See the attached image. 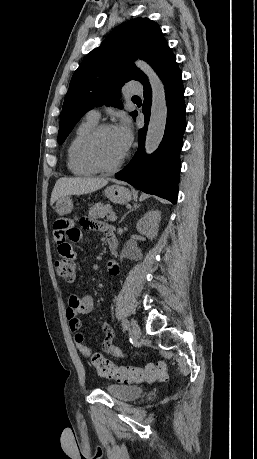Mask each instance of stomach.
I'll return each mask as SVG.
<instances>
[{
    "mask_svg": "<svg viewBox=\"0 0 257 459\" xmlns=\"http://www.w3.org/2000/svg\"><path fill=\"white\" fill-rule=\"evenodd\" d=\"M106 197L117 204H124L131 200L130 191L118 184L108 186L105 189ZM56 211L59 215H67L71 213L73 209L72 200L68 196L60 197L56 202Z\"/></svg>",
    "mask_w": 257,
    "mask_h": 459,
    "instance_id": "1",
    "label": "stomach"
}]
</instances>
